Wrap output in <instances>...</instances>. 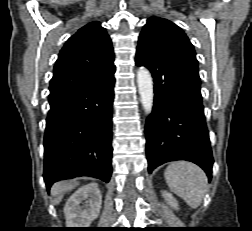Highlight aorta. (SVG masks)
Instances as JSON below:
<instances>
[{
    "instance_id": "obj_1",
    "label": "aorta",
    "mask_w": 252,
    "mask_h": 231,
    "mask_svg": "<svg viewBox=\"0 0 252 231\" xmlns=\"http://www.w3.org/2000/svg\"><path fill=\"white\" fill-rule=\"evenodd\" d=\"M137 84L142 106L146 114H150L153 108V79L150 72L140 67L137 71Z\"/></svg>"
}]
</instances>
